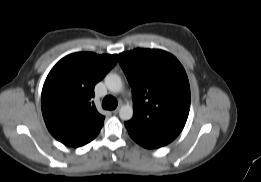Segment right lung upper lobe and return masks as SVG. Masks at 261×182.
Listing matches in <instances>:
<instances>
[{"label": "right lung upper lobe", "mask_w": 261, "mask_h": 182, "mask_svg": "<svg viewBox=\"0 0 261 182\" xmlns=\"http://www.w3.org/2000/svg\"><path fill=\"white\" fill-rule=\"evenodd\" d=\"M117 63V55L79 52L62 58L48 74L41 96L49 132L66 146L92 141L104 123L92 102L97 82Z\"/></svg>", "instance_id": "right-lung-upper-lobe-1"}]
</instances>
